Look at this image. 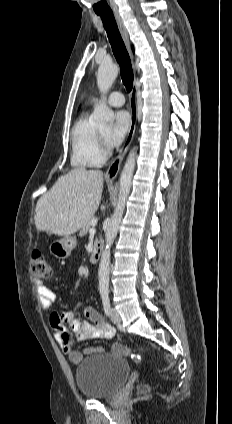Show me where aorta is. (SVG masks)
<instances>
[{"instance_id": "1", "label": "aorta", "mask_w": 232, "mask_h": 424, "mask_svg": "<svg viewBox=\"0 0 232 424\" xmlns=\"http://www.w3.org/2000/svg\"><path fill=\"white\" fill-rule=\"evenodd\" d=\"M119 73V67L116 64H101L98 69L97 74V85L102 93V100L95 107L92 114V120L97 126H112L114 122V113L106 104V95L114 83L117 75ZM136 153L137 148L129 152L127 160L125 162L124 168L120 175V186H119V195L118 202L115 207L114 213L110 219L106 234L105 241L106 245L102 251L99 269H98V279H99V291L101 294L108 293L109 289V273H110V249L117 235L120 222L125 210V205L127 198L129 196L132 177L136 164Z\"/></svg>"}]
</instances>
